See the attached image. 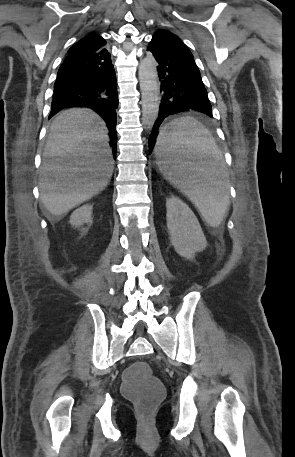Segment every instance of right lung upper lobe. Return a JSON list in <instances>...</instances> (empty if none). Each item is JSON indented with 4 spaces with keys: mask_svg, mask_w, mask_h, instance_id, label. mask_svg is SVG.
I'll return each mask as SVG.
<instances>
[{
    "mask_svg": "<svg viewBox=\"0 0 295 457\" xmlns=\"http://www.w3.org/2000/svg\"><path fill=\"white\" fill-rule=\"evenodd\" d=\"M105 44V39H103L100 35L91 33L75 43L68 50V56L91 54L102 49Z\"/></svg>",
    "mask_w": 295,
    "mask_h": 457,
    "instance_id": "right-lung-upper-lobe-1",
    "label": "right lung upper lobe"
}]
</instances>
